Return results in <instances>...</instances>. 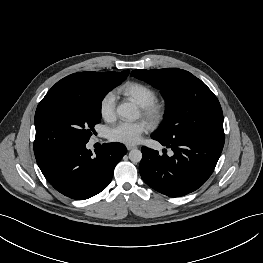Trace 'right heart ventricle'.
I'll use <instances>...</instances> for the list:
<instances>
[{"mask_svg": "<svg viewBox=\"0 0 263 263\" xmlns=\"http://www.w3.org/2000/svg\"><path fill=\"white\" fill-rule=\"evenodd\" d=\"M117 92L131 100L139 107L145 106L156 99V91L151 86L136 81H129L121 85Z\"/></svg>", "mask_w": 263, "mask_h": 263, "instance_id": "obj_1", "label": "right heart ventricle"}]
</instances>
